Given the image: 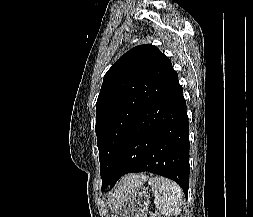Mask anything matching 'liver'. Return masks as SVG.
Instances as JSON below:
<instances>
[{
    "label": "liver",
    "mask_w": 253,
    "mask_h": 217,
    "mask_svg": "<svg viewBox=\"0 0 253 217\" xmlns=\"http://www.w3.org/2000/svg\"><path fill=\"white\" fill-rule=\"evenodd\" d=\"M147 180V176L144 174H128L124 176L120 182L116 185L112 201L117 198L128 195L135 187L143 186Z\"/></svg>",
    "instance_id": "6515ba94"
}]
</instances>
